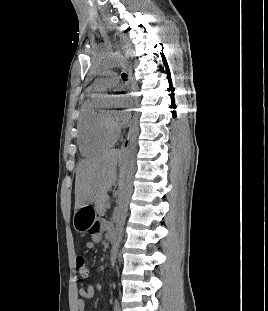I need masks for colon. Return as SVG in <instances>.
<instances>
[{
    "label": "colon",
    "mask_w": 268,
    "mask_h": 311,
    "mask_svg": "<svg viewBox=\"0 0 268 311\" xmlns=\"http://www.w3.org/2000/svg\"><path fill=\"white\" fill-rule=\"evenodd\" d=\"M77 271L80 277L86 278L89 276V269L84 256L79 255L76 259Z\"/></svg>",
    "instance_id": "colon-1"
}]
</instances>
